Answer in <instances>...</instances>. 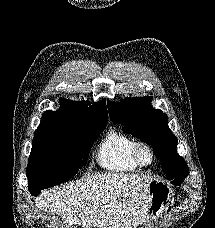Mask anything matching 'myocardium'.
Listing matches in <instances>:
<instances>
[{"label":"myocardium","mask_w":215,"mask_h":228,"mask_svg":"<svg viewBox=\"0 0 215 228\" xmlns=\"http://www.w3.org/2000/svg\"><path fill=\"white\" fill-rule=\"evenodd\" d=\"M149 155V161H144L143 154ZM132 156L135 163L140 167H150L156 160L154 149L146 142H136L132 150Z\"/></svg>","instance_id":"f54148a6"}]
</instances>
